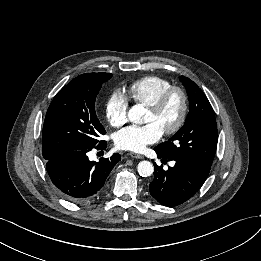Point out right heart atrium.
Segmentation results:
<instances>
[{
	"label": "right heart atrium",
	"instance_id": "obj_1",
	"mask_svg": "<svg viewBox=\"0 0 261 261\" xmlns=\"http://www.w3.org/2000/svg\"><path fill=\"white\" fill-rule=\"evenodd\" d=\"M128 101L120 92H113L105 103V116L113 127H121L127 122Z\"/></svg>",
	"mask_w": 261,
	"mask_h": 261
}]
</instances>
